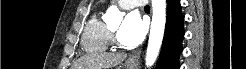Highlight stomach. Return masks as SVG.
<instances>
[{
  "mask_svg": "<svg viewBox=\"0 0 246 69\" xmlns=\"http://www.w3.org/2000/svg\"><path fill=\"white\" fill-rule=\"evenodd\" d=\"M125 69H137V64L127 61L125 63Z\"/></svg>",
  "mask_w": 246,
  "mask_h": 69,
  "instance_id": "stomach-1",
  "label": "stomach"
}]
</instances>
